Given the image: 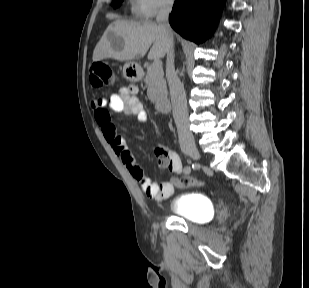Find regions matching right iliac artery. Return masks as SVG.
Masks as SVG:
<instances>
[{"label": "right iliac artery", "instance_id": "right-iliac-artery-1", "mask_svg": "<svg viewBox=\"0 0 309 288\" xmlns=\"http://www.w3.org/2000/svg\"><path fill=\"white\" fill-rule=\"evenodd\" d=\"M190 167H191L190 169L193 170V171H194V170H195V171H196V170H200V165H196V164H195V165H191Z\"/></svg>", "mask_w": 309, "mask_h": 288}]
</instances>
